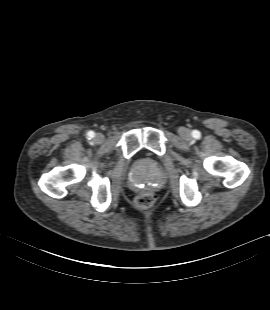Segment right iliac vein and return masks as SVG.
<instances>
[{
	"instance_id": "right-iliac-vein-1",
	"label": "right iliac vein",
	"mask_w": 270,
	"mask_h": 310,
	"mask_svg": "<svg viewBox=\"0 0 270 310\" xmlns=\"http://www.w3.org/2000/svg\"><path fill=\"white\" fill-rule=\"evenodd\" d=\"M103 141H104V135L101 133L96 134V136L94 137V142L100 144Z\"/></svg>"
}]
</instances>
